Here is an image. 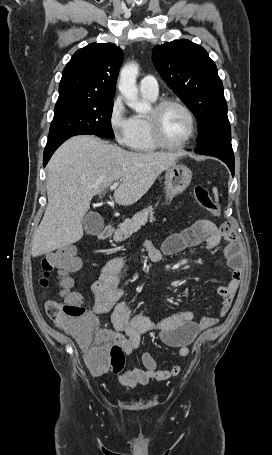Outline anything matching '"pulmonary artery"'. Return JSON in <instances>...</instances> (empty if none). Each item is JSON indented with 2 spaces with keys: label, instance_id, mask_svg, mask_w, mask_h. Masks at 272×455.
Returning <instances> with one entry per match:
<instances>
[{
  "label": "pulmonary artery",
  "instance_id": "pulmonary-artery-1",
  "mask_svg": "<svg viewBox=\"0 0 272 455\" xmlns=\"http://www.w3.org/2000/svg\"><path fill=\"white\" fill-rule=\"evenodd\" d=\"M140 92L143 95L157 97L159 86L156 78L152 75L144 76L139 83Z\"/></svg>",
  "mask_w": 272,
  "mask_h": 455
}]
</instances>
